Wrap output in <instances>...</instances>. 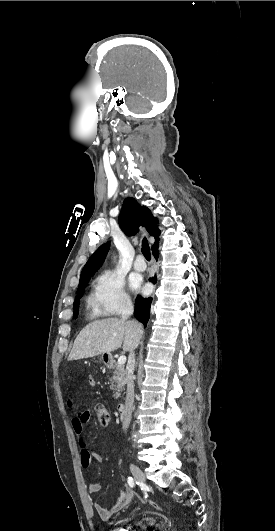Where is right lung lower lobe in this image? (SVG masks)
Instances as JSON below:
<instances>
[{"instance_id":"1","label":"right lung lower lobe","mask_w":275,"mask_h":531,"mask_svg":"<svg viewBox=\"0 0 275 531\" xmlns=\"http://www.w3.org/2000/svg\"><path fill=\"white\" fill-rule=\"evenodd\" d=\"M152 252L154 257L158 258L159 252H158V245L152 248ZM152 283H156L157 279L156 276L149 279ZM152 298H143L141 296H137L136 302H135V310L134 315L138 321L144 324V326L147 325V322L150 317V306H151Z\"/></svg>"}]
</instances>
